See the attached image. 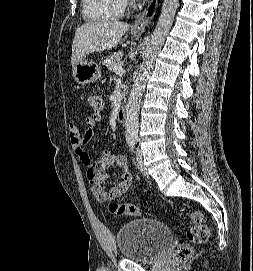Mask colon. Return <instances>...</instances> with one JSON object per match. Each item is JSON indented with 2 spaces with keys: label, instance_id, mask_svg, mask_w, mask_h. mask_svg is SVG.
<instances>
[{
  "label": "colon",
  "instance_id": "obj_1",
  "mask_svg": "<svg viewBox=\"0 0 253 271\" xmlns=\"http://www.w3.org/2000/svg\"><path fill=\"white\" fill-rule=\"evenodd\" d=\"M91 109L96 113H100L104 108V98L98 93H89L87 96ZM112 213L117 215H128L136 217L140 214L139 207L130 203H115L109 205ZM183 218L190 222L185 236L186 242L181 243L175 252V258L180 261H186L192 254V244L205 243L209 237V228L204 222L201 212L190 210L182 215Z\"/></svg>",
  "mask_w": 253,
  "mask_h": 271
}]
</instances>
